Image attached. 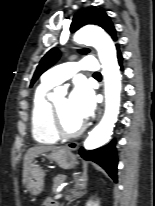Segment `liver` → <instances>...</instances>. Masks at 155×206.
<instances>
[{
    "label": "liver",
    "instance_id": "1",
    "mask_svg": "<svg viewBox=\"0 0 155 206\" xmlns=\"http://www.w3.org/2000/svg\"><path fill=\"white\" fill-rule=\"evenodd\" d=\"M55 146H35L28 149L24 157L23 182H27L30 169L33 167V160L40 154L57 150Z\"/></svg>",
    "mask_w": 155,
    "mask_h": 206
}]
</instances>
